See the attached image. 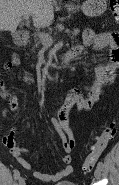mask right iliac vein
I'll use <instances>...</instances> for the list:
<instances>
[{
  "mask_svg": "<svg viewBox=\"0 0 119 185\" xmlns=\"http://www.w3.org/2000/svg\"><path fill=\"white\" fill-rule=\"evenodd\" d=\"M19 185H25V179L23 177L18 178Z\"/></svg>",
  "mask_w": 119,
  "mask_h": 185,
  "instance_id": "1",
  "label": "right iliac vein"
}]
</instances>
